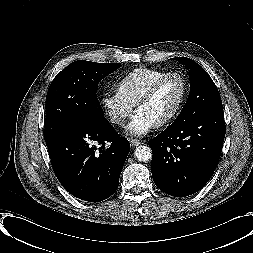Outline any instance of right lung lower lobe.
<instances>
[{
	"label": "right lung lower lobe",
	"mask_w": 253,
	"mask_h": 253,
	"mask_svg": "<svg viewBox=\"0 0 253 253\" xmlns=\"http://www.w3.org/2000/svg\"><path fill=\"white\" fill-rule=\"evenodd\" d=\"M46 145L59 182L70 194L89 202L105 200L115 193L130 151L127 139L120 137L108 121L75 122Z\"/></svg>",
	"instance_id": "obj_1"
}]
</instances>
